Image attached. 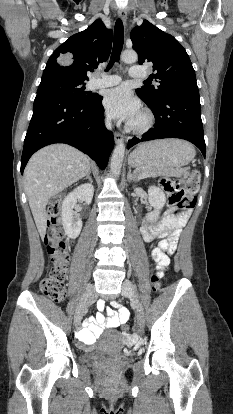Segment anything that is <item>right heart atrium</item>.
Returning <instances> with one entry per match:
<instances>
[{"label": "right heart atrium", "instance_id": "d8ad5b80", "mask_svg": "<svg viewBox=\"0 0 233 414\" xmlns=\"http://www.w3.org/2000/svg\"><path fill=\"white\" fill-rule=\"evenodd\" d=\"M105 124H106V125H108V124H109L108 119H105Z\"/></svg>", "mask_w": 233, "mask_h": 414}]
</instances>
